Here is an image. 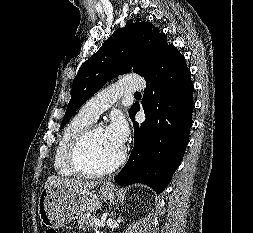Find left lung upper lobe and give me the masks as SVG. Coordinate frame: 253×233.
I'll list each match as a JSON object with an SVG mask.
<instances>
[{"mask_svg":"<svg viewBox=\"0 0 253 233\" xmlns=\"http://www.w3.org/2000/svg\"><path fill=\"white\" fill-rule=\"evenodd\" d=\"M171 45L152 23L129 20L118 28L101 48L80 67L72 86V97L62 121L63 127L77 109L107 81L131 70L148 74ZM134 105L129 110L131 115Z\"/></svg>","mask_w":253,"mask_h":233,"instance_id":"1","label":"left lung upper lobe"}]
</instances>
